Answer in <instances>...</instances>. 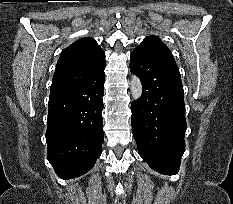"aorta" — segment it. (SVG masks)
I'll use <instances>...</instances> for the list:
<instances>
[{
    "mask_svg": "<svg viewBox=\"0 0 233 204\" xmlns=\"http://www.w3.org/2000/svg\"><path fill=\"white\" fill-rule=\"evenodd\" d=\"M130 91L133 100H137L141 97L143 88L142 83L139 79V77L135 74H132L131 80H130Z\"/></svg>",
    "mask_w": 233,
    "mask_h": 204,
    "instance_id": "1",
    "label": "aorta"
}]
</instances>
